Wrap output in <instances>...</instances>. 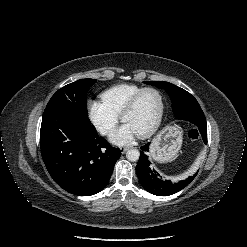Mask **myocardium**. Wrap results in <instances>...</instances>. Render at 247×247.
<instances>
[{"mask_svg": "<svg viewBox=\"0 0 247 247\" xmlns=\"http://www.w3.org/2000/svg\"><path fill=\"white\" fill-rule=\"evenodd\" d=\"M147 92H153L155 93L160 100V111H159V115L155 121V123L145 132L138 134L139 138L145 139L150 137L151 135H153L158 128L160 127L163 118H164V114H165V100H164V96L162 95V93L156 89V88H152V87H147L142 89L141 91H139L138 93H136L131 100L127 103V105L124 107L123 111L121 112V120L124 121L125 117L134 110V108L136 107V105L138 104L140 98Z\"/></svg>", "mask_w": 247, "mask_h": 247, "instance_id": "f54148a6", "label": "myocardium"}]
</instances>
